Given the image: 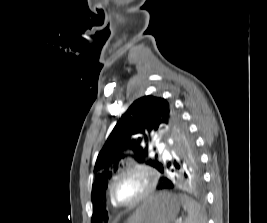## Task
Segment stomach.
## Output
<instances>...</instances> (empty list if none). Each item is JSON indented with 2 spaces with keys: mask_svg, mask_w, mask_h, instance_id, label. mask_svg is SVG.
<instances>
[{
  "mask_svg": "<svg viewBox=\"0 0 267 223\" xmlns=\"http://www.w3.org/2000/svg\"><path fill=\"white\" fill-rule=\"evenodd\" d=\"M180 205L178 196L170 192H159L146 199L127 223H173Z\"/></svg>",
  "mask_w": 267,
  "mask_h": 223,
  "instance_id": "1",
  "label": "stomach"
}]
</instances>
